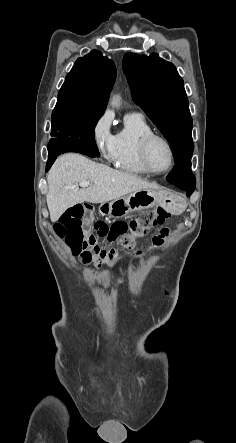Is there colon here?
<instances>
[{
  "label": "colon",
  "instance_id": "colon-1",
  "mask_svg": "<svg viewBox=\"0 0 236 443\" xmlns=\"http://www.w3.org/2000/svg\"><path fill=\"white\" fill-rule=\"evenodd\" d=\"M168 217L169 212L158 207L144 211L130 221L108 225L103 221H92V213L87 205L74 204L63 212L54 229L65 240L71 252L84 263L113 267L121 260L120 250L103 249L97 245V239L108 242L119 240L122 250H131L137 238L164 223ZM167 232L163 230L164 234Z\"/></svg>",
  "mask_w": 236,
  "mask_h": 443
}]
</instances>
